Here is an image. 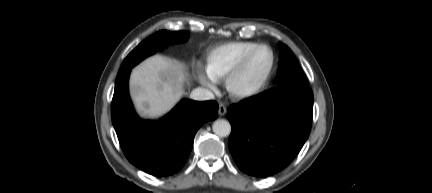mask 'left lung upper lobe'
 Listing matches in <instances>:
<instances>
[{
	"mask_svg": "<svg viewBox=\"0 0 432 193\" xmlns=\"http://www.w3.org/2000/svg\"><path fill=\"white\" fill-rule=\"evenodd\" d=\"M279 48L280 60L276 76L278 87L309 88L306 77L292 51L282 43H279Z\"/></svg>",
	"mask_w": 432,
	"mask_h": 193,
	"instance_id": "obj_1",
	"label": "left lung upper lobe"
}]
</instances>
